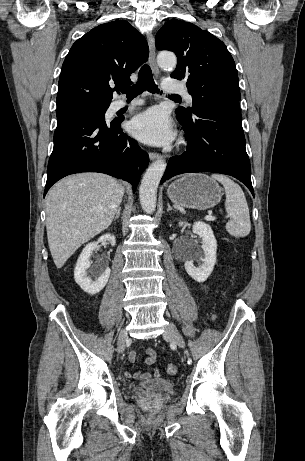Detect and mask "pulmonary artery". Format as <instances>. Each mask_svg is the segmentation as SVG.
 Here are the masks:
<instances>
[{
	"label": "pulmonary artery",
	"mask_w": 305,
	"mask_h": 461,
	"mask_svg": "<svg viewBox=\"0 0 305 461\" xmlns=\"http://www.w3.org/2000/svg\"><path fill=\"white\" fill-rule=\"evenodd\" d=\"M163 88L165 89V91L167 92H171V93H180L184 96V98L186 99V101L189 103V104H192L193 100H192V97L191 95L187 92V90L185 89V87L181 84H178V83H175L173 79H165L164 83H163ZM142 101L137 99V100H134L132 101L131 103H126L125 101L123 100H116L114 101L113 103V109L114 110H119L123 107H133V106H136V105H139L141 104Z\"/></svg>",
	"instance_id": "obj_1"
}]
</instances>
